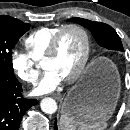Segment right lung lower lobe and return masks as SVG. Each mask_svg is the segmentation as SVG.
<instances>
[{
    "instance_id": "98d812e1",
    "label": "right lung lower lobe",
    "mask_w": 130,
    "mask_h": 130,
    "mask_svg": "<svg viewBox=\"0 0 130 130\" xmlns=\"http://www.w3.org/2000/svg\"><path fill=\"white\" fill-rule=\"evenodd\" d=\"M15 75L0 70V130H18L25 112L37 100L25 99Z\"/></svg>"
}]
</instances>
